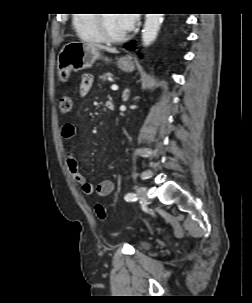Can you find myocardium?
I'll return each instance as SVG.
<instances>
[{
  "instance_id": "f54148a6",
  "label": "myocardium",
  "mask_w": 252,
  "mask_h": 303,
  "mask_svg": "<svg viewBox=\"0 0 252 303\" xmlns=\"http://www.w3.org/2000/svg\"><path fill=\"white\" fill-rule=\"evenodd\" d=\"M98 25L101 31V34L105 41L108 42H122L126 40L129 36L128 32H125L121 35H112L105 28V14H97Z\"/></svg>"
}]
</instances>
